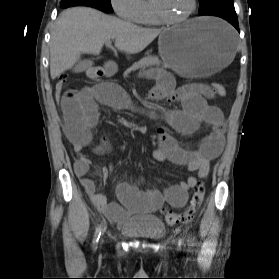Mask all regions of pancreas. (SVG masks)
<instances>
[{
  "instance_id": "obj_1",
  "label": "pancreas",
  "mask_w": 279,
  "mask_h": 279,
  "mask_svg": "<svg viewBox=\"0 0 279 279\" xmlns=\"http://www.w3.org/2000/svg\"><path fill=\"white\" fill-rule=\"evenodd\" d=\"M153 65H157V66L162 65L164 68L170 67L166 62H162L161 60H159L158 57L148 56V57H145V58L141 59L140 61L134 63V65L131 68H129L128 70L125 71L124 77H127L131 71H134L139 68L150 67Z\"/></svg>"
}]
</instances>
